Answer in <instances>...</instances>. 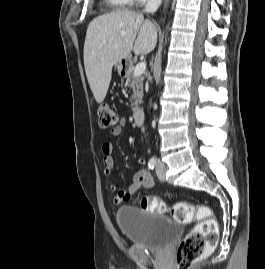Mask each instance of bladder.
Here are the masks:
<instances>
[{
    "label": "bladder",
    "instance_id": "31cf9c89",
    "mask_svg": "<svg viewBox=\"0 0 265 269\" xmlns=\"http://www.w3.org/2000/svg\"><path fill=\"white\" fill-rule=\"evenodd\" d=\"M116 221L130 243L151 251L166 250L181 235L179 223L164 215L146 213L136 206L119 208Z\"/></svg>",
    "mask_w": 265,
    "mask_h": 269
}]
</instances>
